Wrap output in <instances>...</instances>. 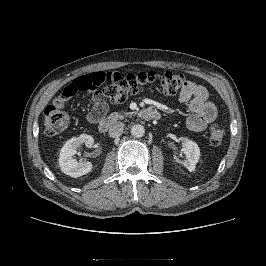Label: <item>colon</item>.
I'll return each mask as SVG.
<instances>
[{
	"mask_svg": "<svg viewBox=\"0 0 266 266\" xmlns=\"http://www.w3.org/2000/svg\"><path fill=\"white\" fill-rule=\"evenodd\" d=\"M182 74L165 71H144L122 75L116 71L95 72L74 79L48 105L44 111V131L48 136H56L64 132L69 124V116L61 110L66 101L78 92H88L102 87V93L111 103H121L144 89L157 87L165 95L176 94L184 85ZM226 136L225 128L214 123L210 126L208 137L213 146L223 143Z\"/></svg>",
	"mask_w": 266,
	"mask_h": 266,
	"instance_id": "obj_1",
	"label": "colon"
}]
</instances>
